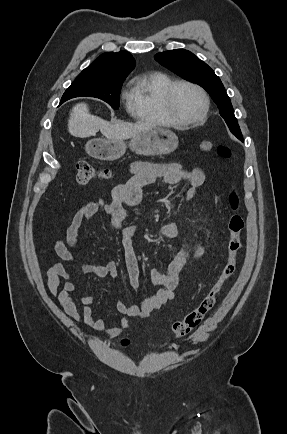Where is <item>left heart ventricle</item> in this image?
<instances>
[{
	"mask_svg": "<svg viewBox=\"0 0 287 434\" xmlns=\"http://www.w3.org/2000/svg\"><path fill=\"white\" fill-rule=\"evenodd\" d=\"M175 113L182 119H194L203 110V101L200 94L188 86H179L173 96Z\"/></svg>",
	"mask_w": 287,
	"mask_h": 434,
	"instance_id": "1",
	"label": "left heart ventricle"
}]
</instances>
